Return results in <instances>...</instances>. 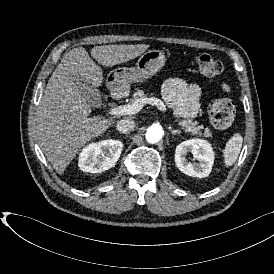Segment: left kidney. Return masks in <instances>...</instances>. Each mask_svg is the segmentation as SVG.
<instances>
[{"label": "left kidney", "instance_id": "obj_1", "mask_svg": "<svg viewBox=\"0 0 274 274\" xmlns=\"http://www.w3.org/2000/svg\"><path fill=\"white\" fill-rule=\"evenodd\" d=\"M189 153L197 162L191 163L186 158ZM213 159L210 144L200 139L187 140L178 144L174 155L175 164L182 173L198 178H204L210 174Z\"/></svg>", "mask_w": 274, "mask_h": 274}]
</instances>
